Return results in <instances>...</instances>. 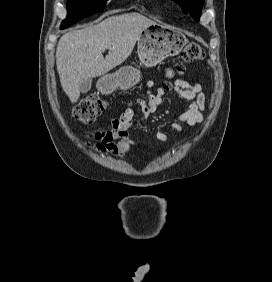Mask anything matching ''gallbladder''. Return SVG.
Returning <instances> with one entry per match:
<instances>
[{
  "label": "gallbladder",
  "instance_id": "obj_1",
  "mask_svg": "<svg viewBox=\"0 0 272 282\" xmlns=\"http://www.w3.org/2000/svg\"><path fill=\"white\" fill-rule=\"evenodd\" d=\"M91 89V79L85 81L82 83L80 87V92L85 94Z\"/></svg>",
  "mask_w": 272,
  "mask_h": 282
}]
</instances>
